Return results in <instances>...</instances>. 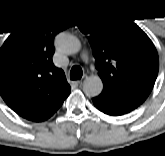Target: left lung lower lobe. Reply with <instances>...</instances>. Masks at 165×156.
<instances>
[{
    "instance_id": "left-lung-lower-lobe-1",
    "label": "left lung lower lobe",
    "mask_w": 165,
    "mask_h": 156,
    "mask_svg": "<svg viewBox=\"0 0 165 156\" xmlns=\"http://www.w3.org/2000/svg\"><path fill=\"white\" fill-rule=\"evenodd\" d=\"M92 100L96 108L111 116H121L132 111V109L114 101L112 98L103 93L94 97Z\"/></svg>"
}]
</instances>
